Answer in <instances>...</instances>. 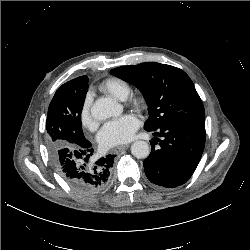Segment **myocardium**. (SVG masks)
Instances as JSON below:
<instances>
[{"mask_svg":"<svg viewBox=\"0 0 250 250\" xmlns=\"http://www.w3.org/2000/svg\"><path fill=\"white\" fill-rule=\"evenodd\" d=\"M127 104L131 106L133 109H135L136 111L142 112L147 108L148 102L145 96L135 95V96H131L127 100Z\"/></svg>","mask_w":250,"mask_h":250,"instance_id":"myocardium-1","label":"myocardium"}]
</instances>
